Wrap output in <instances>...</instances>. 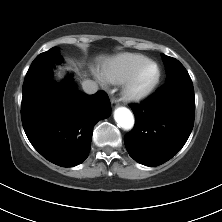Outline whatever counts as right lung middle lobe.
Here are the masks:
<instances>
[{"mask_svg": "<svg viewBox=\"0 0 222 222\" xmlns=\"http://www.w3.org/2000/svg\"><path fill=\"white\" fill-rule=\"evenodd\" d=\"M58 51L59 49L54 47L44 53H41L35 58L23 83V95H27L28 93L40 88L66 87L71 85V81L56 84L51 79L52 66L60 63L62 60Z\"/></svg>", "mask_w": 222, "mask_h": 222, "instance_id": "dd1d6c3e", "label": "right lung middle lobe"}]
</instances>
